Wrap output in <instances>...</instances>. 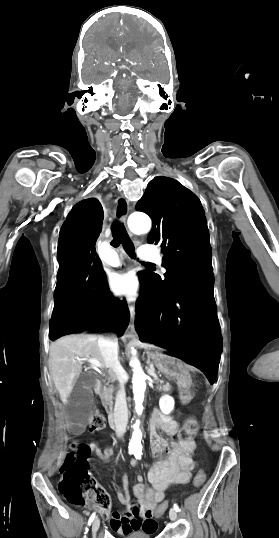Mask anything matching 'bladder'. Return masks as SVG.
Masks as SVG:
<instances>
[{"label": "bladder", "mask_w": 279, "mask_h": 538, "mask_svg": "<svg viewBox=\"0 0 279 538\" xmlns=\"http://www.w3.org/2000/svg\"><path fill=\"white\" fill-rule=\"evenodd\" d=\"M129 538H151L149 532H130Z\"/></svg>", "instance_id": "bladder-1"}]
</instances>
